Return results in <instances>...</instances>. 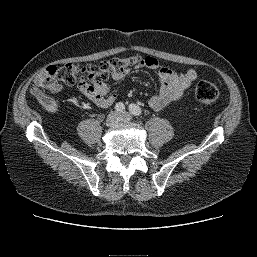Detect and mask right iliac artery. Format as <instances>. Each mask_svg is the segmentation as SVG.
Listing matches in <instances>:
<instances>
[{
	"mask_svg": "<svg viewBox=\"0 0 257 257\" xmlns=\"http://www.w3.org/2000/svg\"><path fill=\"white\" fill-rule=\"evenodd\" d=\"M115 109H116V111H118V112H123L124 109H125V106H124L123 103L119 102V103L116 104Z\"/></svg>",
	"mask_w": 257,
	"mask_h": 257,
	"instance_id": "right-iliac-artery-1",
	"label": "right iliac artery"
}]
</instances>
